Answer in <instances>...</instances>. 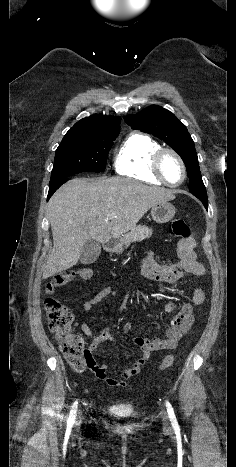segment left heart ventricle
I'll list each match as a JSON object with an SVG mask.
<instances>
[{
  "mask_svg": "<svg viewBox=\"0 0 236 467\" xmlns=\"http://www.w3.org/2000/svg\"><path fill=\"white\" fill-rule=\"evenodd\" d=\"M162 172L165 179L172 184L178 183L183 175L179 162L170 154H166L162 160Z\"/></svg>",
  "mask_w": 236,
  "mask_h": 467,
  "instance_id": "left-heart-ventricle-1",
  "label": "left heart ventricle"
}]
</instances>
